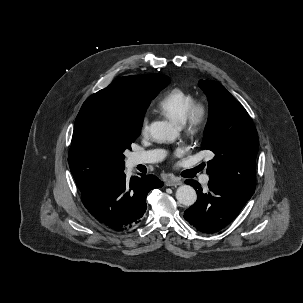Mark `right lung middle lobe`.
<instances>
[{
  "label": "right lung middle lobe",
  "mask_w": 303,
  "mask_h": 303,
  "mask_svg": "<svg viewBox=\"0 0 303 303\" xmlns=\"http://www.w3.org/2000/svg\"><path fill=\"white\" fill-rule=\"evenodd\" d=\"M168 84L169 80L160 83L154 98ZM135 110L145 112L146 107H135ZM79 113L84 126V139L101 151L115 168L124 170L123 152L131 150L132 142L140 135L142 123H135L130 109L119 103H97ZM70 170L78 188L91 180L90 173L84 168L70 166Z\"/></svg>",
  "instance_id": "right-lung-middle-lobe-1"
}]
</instances>
